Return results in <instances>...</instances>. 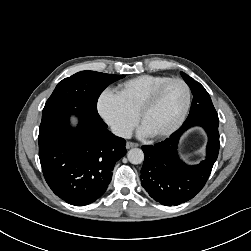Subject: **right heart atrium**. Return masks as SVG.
Masks as SVG:
<instances>
[{"label":"right heart atrium","mask_w":251,"mask_h":251,"mask_svg":"<svg viewBox=\"0 0 251 251\" xmlns=\"http://www.w3.org/2000/svg\"><path fill=\"white\" fill-rule=\"evenodd\" d=\"M97 112L111 130L120 137H127L137 121L135 113L130 111L116 92L106 89L97 99Z\"/></svg>","instance_id":"d8ad5b80"}]
</instances>
